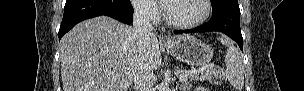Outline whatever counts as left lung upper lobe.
<instances>
[{"label": "left lung upper lobe", "mask_w": 304, "mask_h": 91, "mask_svg": "<svg viewBox=\"0 0 304 91\" xmlns=\"http://www.w3.org/2000/svg\"><path fill=\"white\" fill-rule=\"evenodd\" d=\"M238 0H211L212 14L219 12L222 8L231 3H236Z\"/></svg>", "instance_id": "left-lung-upper-lobe-1"}]
</instances>
